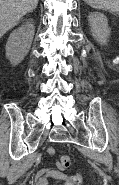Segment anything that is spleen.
Segmentation results:
<instances>
[{
	"instance_id": "3e777b00",
	"label": "spleen",
	"mask_w": 119,
	"mask_h": 185,
	"mask_svg": "<svg viewBox=\"0 0 119 185\" xmlns=\"http://www.w3.org/2000/svg\"><path fill=\"white\" fill-rule=\"evenodd\" d=\"M92 8L119 13V0H84Z\"/></svg>"
}]
</instances>
